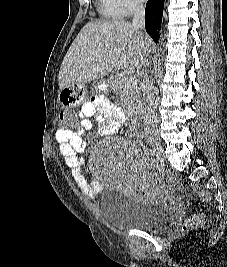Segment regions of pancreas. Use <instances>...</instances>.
Returning <instances> with one entry per match:
<instances>
[{
	"label": "pancreas",
	"mask_w": 227,
	"mask_h": 267,
	"mask_svg": "<svg viewBox=\"0 0 227 267\" xmlns=\"http://www.w3.org/2000/svg\"><path fill=\"white\" fill-rule=\"evenodd\" d=\"M112 89L121 97L124 106L134 110L140 105V92L136 84L128 85V76L117 75L111 80Z\"/></svg>",
	"instance_id": "pancreas-1"
}]
</instances>
